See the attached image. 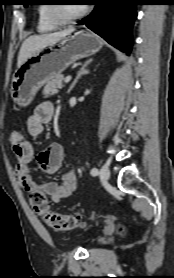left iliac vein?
<instances>
[{"instance_id": "left-iliac-vein-1", "label": "left iliac vein", "mask_w": 174, "mask_h": 278, "mask_svg": "<svg viewBox=\"0 0 174 278\" xmlns=\"http://www.w3.org/2000/svg\"><path fill=\"white\" fill-rule=\"evenodd\" d=\"M99 176H100L101 180L107 181L110 177L109 167L106 165L102 166L100 169V172H99Z\"/></svg>"}]
</instances>
